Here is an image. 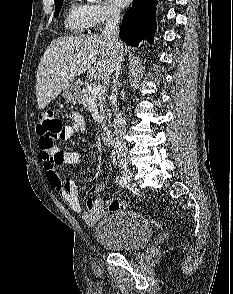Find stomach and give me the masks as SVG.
I'll use <instances>...</instances> for the list:
<instances>
[{
    "label": "stomach",
    "mask_w": 233,
    "mask_h": 294,
    "mask_svg": "<svg viewBox=\"0 0 233 294\" xmlns=\"http://www.w3.org/2000/svg\"><path fill=\"white\" fill-rule=\"evenodd\" d=\"M62 96L68 103H82V89L77 83H71L66 89H64Z\"/></svg>",
    "instance_id": "stomach-1"
}]
</instances>
